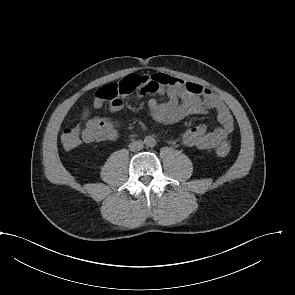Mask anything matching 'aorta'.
<instances>
[{"label":"aorta","instance_id":"aorta-1","mask_svg":"<svg viewBox=\"0 0 295 295\" xmlns=\"http://www.w3.org/2000/svg\"><path fill=\"white\" fill-rule=\"evenodd\" d=\"M155 143V139L152 137H146L145 138V144L149 145V146H153Z\"/></svg>","mask_w":295,"mask_h":295}]
</instances>
